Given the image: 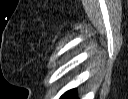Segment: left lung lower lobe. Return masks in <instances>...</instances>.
<instances>
[{"label": "left lung lower lobe", "mask_w": 128, "mask_h": 99, "mask_svg": "<svg viewBox=\"0 0 128 99\" xmlns=\"http://www.w3.org/2000/svg\"><path fill=\"white\" fill-rule=\"evenodd\" d=\"M60 99H76L75 97V90H70L66 92L64 95L61 96Z\"/></svg>", "instance_id": "obj_1"}]
</instances>
